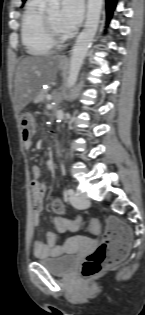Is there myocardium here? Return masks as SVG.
<instances>
[{"mask_svg":"<svg viewBox=\"0 0 145 315\" xmlns=\"http://www.w3.org/2000/svg\"><path fill=\"white\" fill-rule=\"evenodd\" d=\"M43 23L47 37L53 45L58 46L68 40L69 33L68 32H66L65 34L60 33L50 20L47 13H44Z\"/></svg>","mask_w":145,"mask_h":315,"instance_id":"myocardium-1","label":"myocardium"}]
</instances>
